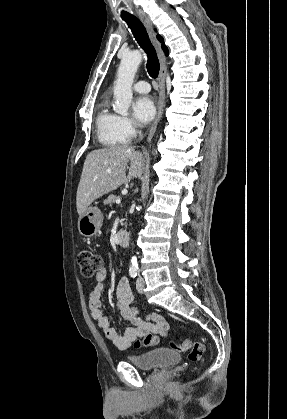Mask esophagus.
Returning <instances> with one entry per match:
<instances>
[{
  "label": "esophagus",
  "mask_w": 287,
  "mask_h": 419,
  "mask_svg": "<svg viewBox=\"0 0 287 419\" xmlns=\"http://www.w3.org/2000/svg\"><path fill=\"white\" fill-rule=\"evenodd\" d=\"M138 15L148 31L150 39L157 51V55L160 62V74L158 78L159 89H158V100H157V115L147 135V142H150L163 114L164 99H165V75H166L167 66H166V57L164 55L163 50L161 49L160 42L156 38V35L154 33V27L149 16H147L145 13L141 11L138 12Z\"/></svg>",
  "instance_id": "esophagus-1"
}]
</instances>
